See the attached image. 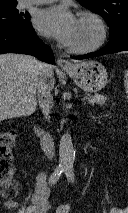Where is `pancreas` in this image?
Listing matches in <instances>:
<instances>
[{
  "mask_svg": "<svg viewBox=\"0 0 128 213\" xmlns=\"http://www.w3.org/2000/svg\"><path fill=\"white\" fill-rule=\"evenodd\" d=\"M86 99L88 100V102L91 104V105H94V104H100V105H104L107 101V97L106 96H103V95H94V96H90L88 95L86 97Z\"/></svg>",
  "mask_w": 128,
  "mask_h": 213,
  "instance_id": "1",
  "label": "pancreas"
}]
</instances>
